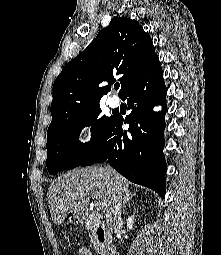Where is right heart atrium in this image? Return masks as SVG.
I'll list each match as a JSON object with an SVG mask.
<instances>
[{"label":"right heart atrium","instance_id":"right-heart-atrium-1","mask_svg":"<svg viewBox=\"0 0 221 255\" xmlns=\"http://www.w3.org/2000/svg\"><path fill=\"white\" fill-rule=\"evenodd\" d=\"M93 126L92 123L88 120H83L78 124L77 127V141L84 143L92 135Z\"/></svg>","mask_w":221,"mask_h":255}]
</instances>
